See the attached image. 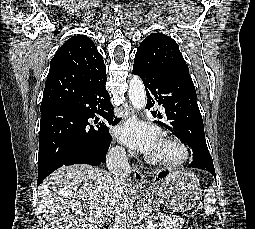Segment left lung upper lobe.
I'll return each instance as SVG.
<instances>
[{
    "label": "left lung upper lobe",
    "instance_id": "obj_1",
    "mask_svg": "<svg viewBox=\"0 0 255 229\" xmlns=\"http://www.w3.org/2000/svg\"><path fill=\"white\" fill-rule=\"evenodd\" d=\"M134 64L145 70H168L178 72L191 79L189 69L179 51L178 44L162 33H152L140 44ZM184 141V135H178Z\"/></svg>",
    "mask_w": 255,
    "mask_h": 229
}]
</instances>
